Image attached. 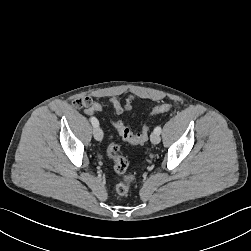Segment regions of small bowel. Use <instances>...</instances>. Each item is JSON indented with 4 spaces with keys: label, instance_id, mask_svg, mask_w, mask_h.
<instances>
[{
    "label": "small bowel",
    "instance_id": "1",
    "mask_svg": "<svg viewBox=\"0 0 251 251\" xmlns=\"http://www.w3.org/2000/svg\"><path fill=\"white\" fill-rule=\"evenodd\" d=\"M93 103H94L93 96L85 95L83 97L75 98L73 106H75V108H77V109H84L85 110L86 108L93 105ZM111 104L113 105L115 111L118 114H122L124 111L129 110L131 108L132 98L131 97L127 98L124 105H121V103L116 98H112Z\"/></svg>",
    "mask_w": 251,
    "mask_h": 251
}]
</instances>
